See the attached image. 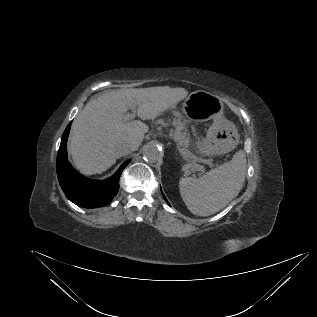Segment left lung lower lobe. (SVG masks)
<instances>
[{"label":"left lung lower lobe","instance_id":"0a47b994","mask_svg":"<svg viewBox=\"0 0 317 317\" xmlns=\"http://www.w3.org/2000/svg\"><path fill=\"white\" fill-rule=\"evenodd\" d=\"M164 198H165V196H164ZM165 200H166V202L168 203V201H167V199L165 198ZM169 204V203H168ZM170 205V204H169Z\"/></svg>","mask_w":317,"mask_h":317}]
</instances>
